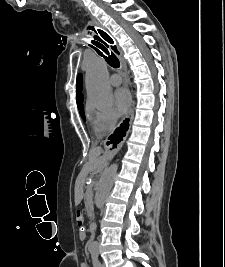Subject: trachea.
<instances>
[{
    "label": "trachea",
    "mask_w": 225,
    "mask_h": 267,
    "mask_svg": "<svg viewBox=\"0 0 225 267\" xmlns=\"http://www.w3.org/2000/svg\"><path fill=\"white\" fill-rule=\"evenodd\" d=\"M90 29H93L92 27H89ZM94 30V29H93ZM102 37L108 42V43H113V40L109 35H107L105 32L98 30ZM105 37H104V36ZM91 47L95 49V51L104 59L106 62L112 66L113 68H118L120 66V62L116 55L112 52H109L108 48L109 46L98 36L95 35L94 39L91 41ZM116 52V47L112 48Z\"/></svg>",
    "instance_id": "3493384b"
}]
</instances>
